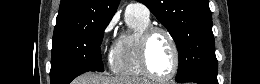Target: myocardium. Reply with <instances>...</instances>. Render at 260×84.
Instances as JSON below:
<instances>
[{
    "label": "myocardium",
    "mask_w": 260,
    "mask_h": 84,
    "mask_svg": "<svg viewBox=\"0 0 260 84\" xmlns=\"http://www.w3.org/2000/svg\"><path fill=\"white\" fill-rule=\"evenodd\" d=\"M158 32L163 33L168 38L173 50V56H174L173 69L168 76L156 75L151 70L149 65V60H148L149 43L153 35ZM139 58H140V65L143 73L146 76H148L150 79L158 82H168L172 80L177 75L180 68V52H179L177 41L173 36V34L168 29L161 26L151 25L148 26L145 30H143L139 40Z\"/></svg>",
    "instance_id": "f54148a6"
}]
</instances>
